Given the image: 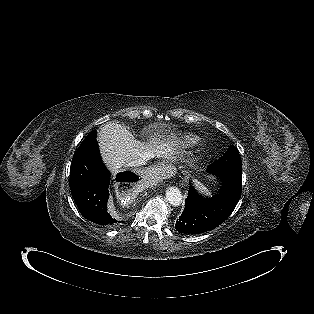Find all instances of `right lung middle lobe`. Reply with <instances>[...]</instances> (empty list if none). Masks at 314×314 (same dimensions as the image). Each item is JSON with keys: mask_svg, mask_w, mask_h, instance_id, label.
<instances>
[{"mask_svg": "<svg viewBox=\"0 0 314 314\" xmlns=\"http://www.w3.org/2000/svg\"><path fill=\"white\" fill-rule=\"evenodd\" d=\"M96 135H97L96 130L90 132V134H88V136L83 140L78 149H82L84 147L91 145L96 140Z\"/></svg>", "mask_w": 314, "mask_h": 314, "instance_id": "right-lung-middle-lobe-1", "label": "right lung middle lobe"}]
</instances>
